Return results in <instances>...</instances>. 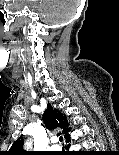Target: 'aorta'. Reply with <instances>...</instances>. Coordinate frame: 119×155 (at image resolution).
<instances>
[{"label":"aorta","mask_w":119,"mask_h":155,"mask_svg":"<svg viewBox=\"0 0 119 155\" xmlns=\"http://www.w3.org/2000/svg\"><path fill=\"white\" fill-rule=\"evenodd\" d=\"M31 147V142H27L26 143V148H30Z\"/></svg>","instance_id":"762f6f07"}]
</instances>
